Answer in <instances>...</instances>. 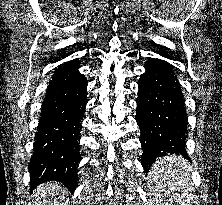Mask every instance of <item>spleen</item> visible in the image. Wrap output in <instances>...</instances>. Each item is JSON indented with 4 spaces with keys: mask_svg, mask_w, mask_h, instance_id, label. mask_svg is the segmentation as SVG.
I'll return each instance as SVG.
<instances>
[{
    "mask_svg": "<svg viewBox=\"0 0 222 205\" xmlns=\"http://www.w3.org/2000/svg\"><path fill=\"white\" fill-rule=\"evenodd\" d=\"M190 168L183 158L167 156L151 167L147 187L156 205H191L193 183Z\"/></svg>",
    "mask_w": 222,
    "mask_h": 205,
    "instance_id": "1",
    "label": "spleen"
}]
</instances>
